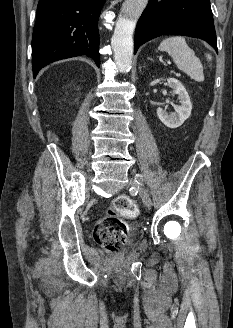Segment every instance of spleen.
Here are the masks:
<instances>
[{"label": "spleen", "mask_w": 233, "mask_h": 328, "mask_svg": "<svg viewBox=\"0 0 233 328\" xmlns=\"http://www.w3.org/2000/svg\"><path fill=\"white\" fill-rule=\"evenodd\" d=\"M158 50L167 52L177 68L191 79L198 82L204 80L203 66L194 51L187 45L184 37L172 36L166 38L160 43Z\"/></svg>", "instance_id": "obj_1"}]
</instances>
